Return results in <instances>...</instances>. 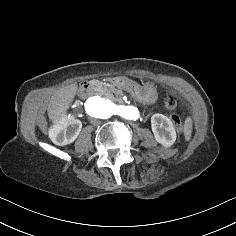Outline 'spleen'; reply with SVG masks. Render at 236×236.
<instances>
[{"mask_svg": "<svg viewBox=\"0 0 236 236\" xmlns=\"http://www.w3.org/2000/svg\"><path fill=\"white\" fill-rule=\"evenodd\" d=\"M190 121H191V119L187 118L185 125L191 124ZM191 132H192V127L190 129H184V135H185L186 140H188L191 137Z\"/></svg>", "mask_w": 236, "mask_h": 236, "instance_id": "1", "label": "spleen"}]
</instances>
